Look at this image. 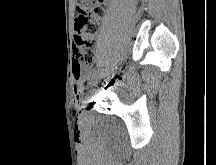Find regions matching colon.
<instances>
[{"mask_svg": "<svg viewBox=\"0 0 216 165\" xmlns=\"http://www.w3.org/2000/svg\"><path fill=\"white\" fill-rule=\"evenodd\" d=\"M106 1L78 0L74 24V58L82 66L94 62V35L104 17Z\"/></svg>", "mask_w": 216, "mask_h": 165, "instance_id": "colon-1", "label": "colon"}]
</instances>
